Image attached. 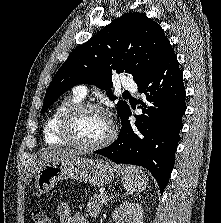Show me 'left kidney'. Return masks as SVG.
<instances>
[{
    "instance_id": "obj_1",
    "label": "left kidney",
    "mask_w": 221,
    "mask_h": 223,
    "mask_svg": "<svg viewBox=\"0 0 221 223\" xmlns=\"http://www.w3.org/2000/svg\"><path fill=\"white\" fill-rule=\"evenodd\" d=\"M115 223H142L143 209L137 203L124 202L113 213Z\"/></svg>"
}]
</instances>
